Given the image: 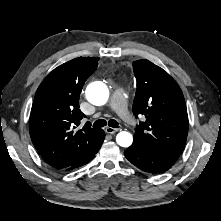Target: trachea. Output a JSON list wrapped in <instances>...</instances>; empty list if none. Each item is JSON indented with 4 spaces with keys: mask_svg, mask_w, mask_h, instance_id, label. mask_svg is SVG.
I'll return each mask as SVG.
<instances>
[{
    "mask_svg": "<svg viewBox=\"0 0 221 221\" xmlns=\"http://www.w3.org/2000/svg\"><path fill=\"white\" fill-rule=\"evenodd\" d=\"M107 124L112 128H118L119 127L118 122L114 119H111L108 122L104 119H98L97 121L94 122L93 127L100 128V127L106 126Z\"/></svg>",
    "mask_w": 221,
    "mask_h": 221,
    "instance_id": "3493384b",
    "label": "trachea"
}]
</instances>
